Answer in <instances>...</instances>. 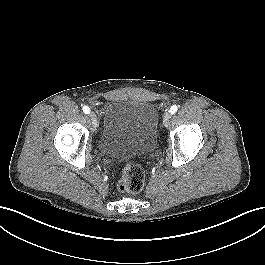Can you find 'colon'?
Listing matches in <instances>:
<instances>
[{"instance_id":"5ec220e1","label":"colon","mask_w":265,"mask_h":265,"mask_svg":"<svg viewBox=\"0 0 265 265\" xmlns=\"http://www.w3.org/2000/svg\"><path fill=\"white\" fill-rule=\"evenodd\" d=\"M145 182V171L137 164L127 163L121 171V176L117 182L120 192L135 194L142 190Z\"/></svg>"}]
</instances>
